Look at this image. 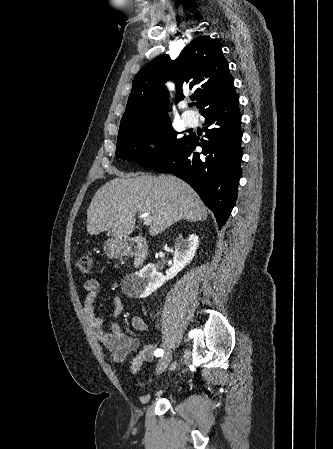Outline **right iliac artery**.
I'll return each mask as SVG.
<instances>
[{
    "label": "right iliac artery",
    "instance_id": "right-iliac-artery-1",
    "mask_svg": "<svg viewBox=\"0 0 333 449\" xmlns=\"http://www.w3.org/2000/svg\"><path fill=\"white\" fill-rule=\"evenodd\" d=\"M164 354V351L162 350V349H157V350H155V352H154V355L156 356V357H160V356H162Z\"/></svg>",
    "mask_w": 333,
    "mask_h": 449
}]
</instances>
